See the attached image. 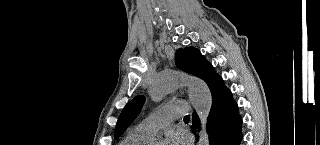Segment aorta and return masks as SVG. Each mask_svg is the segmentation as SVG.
Segmentation results:
<instances>
[{
	"mask_svg": "<svg viewBox=\"0 0 320 145\" xmlns=\"http://www.w3.org/2000/svg\"><path fill=\"white\" fill-rule=\"evenodd\" d=\"M186 84L189 88V97L200 121L201 131L199 144L208 145L209 138L206 131V122L212 106V96L207 84L196 77L187 76L177 71L158 73L151 82L150 96L154 101H160L165 95Z\"/></svg>",
	"mask_w": 320,
	"mask_h": 145,
	"instance_id": "obj_1",
	"label": "aorta"
}]
</instances>
